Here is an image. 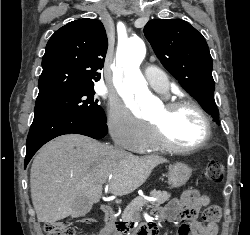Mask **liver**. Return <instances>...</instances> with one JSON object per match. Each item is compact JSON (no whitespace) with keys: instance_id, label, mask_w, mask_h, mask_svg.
<instances>
[{"instance_id":"6515ba94","label":"liver","mask_w":250,"mask_h":235,"mask_svg":"<svg viewBox=\"0 0 250 235\" xmlns=\"http://www.w3.org/2000/svg\"><path fill=\"white\" fill-rule=\"evenodd\" d=\"M165 162L160 156L116 151L80 134L57 137L38 152L31 167V198L37 219L55 223L68 217L79 196L91 205L98 203L107 180L112 194H130Z\"/></svg>"}]
</instances>
